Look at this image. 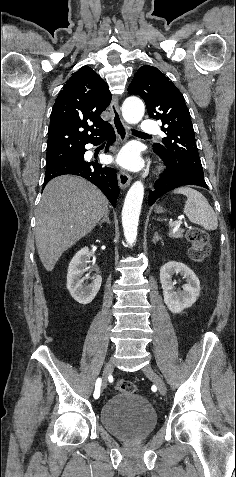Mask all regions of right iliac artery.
I'll return each instance as SVG.
<instances>
[{"label":"right iliac artery","mask_w":236,"mask_h":477,"mask_svg":"<svg viewBox=\"0 0 236 477\" xmlns=\"http://www.w3.org/2000/svg\"><path fill=\"white\" fill-rule=\"evenodd\" d=\"M101 384H102V380H101V378H98L96 380V383H95V391H94V394H93V396L96 400H99L101 398V395H100Z\"/></svg>","instance_id":"82829eb1"}]
</instances>
